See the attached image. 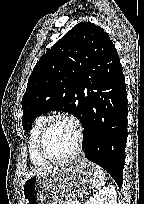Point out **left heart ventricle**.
<instances>
[{"mask_svg":"<svg viewBox=\"0 0 144 204\" xmlns=\"http://www.w3.org/2000/svg\"><path fill=\"white\" fill-rule=\"evenodd\" d=\"M77 135L75 127L66 120H57L49 128L44 146L54 157L69 155L75 148Z\"/></svg>","mask_w":144,"mask_h":204,"instance_id":"b2bd125f","label":"left heart ventricle"}]
</instances>
